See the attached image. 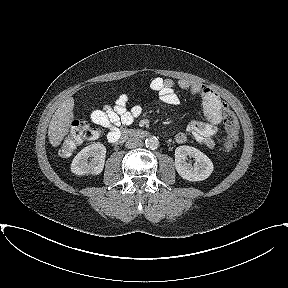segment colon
Wrapping results in <instances>:
<instances>
[{
    "label": "colon",
    "mask_w": 288,
    "mask_h": 288,
    "mask_svg": "<svg viewBox=\"0 0 288 288\" xmlns=\"http://www.w3.org/2000/svg\"><path fill=\"white\" fill-rule=\"evenodd\" d=\"M223 122L227 133V138L231 148H234L238 141L239 126L238 121L226 104H222ZM100 131L92 127L85 120H75L72 122L67 133L60 153L62 156L70 155L79 145L97 139Z\"/></svg>",
    "instance_id": "1"
}]
</instances>
